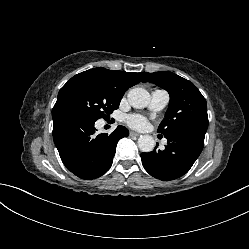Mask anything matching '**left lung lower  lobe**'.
<instances>
[{"instance_id": "obj_1", "label": "left lung lower lobe", "mask_w": 249, "mask_h": 249, "mask_svg": "<svg viewBox=\"0 0 249 249\" xmlns=\"http://www.w3.org/2000/svg\"><path fill=\"white\" fill-rule=\"evenodd\" d=\"M205 134L193 131L177 132L165 138L168 144L164 150L141 153L145 170L153 177L169 181L186 174L199 157ZM158 146V144H157Z\"/></svg>"}]
</instances>
